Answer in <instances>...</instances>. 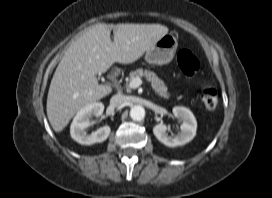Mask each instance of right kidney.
Here are the masks:
<instances>
[{
  "label": "right kidney",
  "instance_id": "right-kidney-1",
  "mask_svg": "<svg viewBox=\"0 0 272 198\" xmlns=\"http://www.w3.org/2000/svg\"><path fill=\"white\" fill-rule=\"evenodd\" d=\"M104 111V105L101 102L91 103L80 109L73 119L70 127L71 137L82 145H92L105 141L110 135V127L103 126L97 131L88 135L85 131L90 126V119L93 116H100Z\"/></svg>",
  "mask_w": 272,
  "mask_h": 198
}]
</instances>
